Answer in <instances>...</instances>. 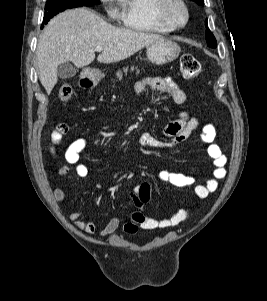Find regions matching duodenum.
Masks as SVG:
<instances>
[{"instance_id": "duodenum-1", "label": "duodenum", "mask_w": 267, "mask_h": 301, "mask_svg": "<svg viewBox=\"0 0 267 301\" xmlns=\"http://www.w3.org/2000/svg\"><path fill=\"white\" fill-rule=\"evenodd\" d=\"M82 82L85 87H92L94 84V77L92 75H84Z\"/></svg>"}]
</instances>
